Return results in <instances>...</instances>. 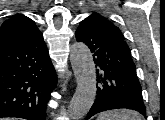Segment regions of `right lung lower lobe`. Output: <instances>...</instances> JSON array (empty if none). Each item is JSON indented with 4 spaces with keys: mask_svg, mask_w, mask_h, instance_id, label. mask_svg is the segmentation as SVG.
I'll list each match as a JSON object with an SVG mask.
<instances>
[{
    "mask_svg": "<svg viewBox=\"0 0 165 120\" xmlns=\"http://www.w3.org/2000/svg\"><path fill=\"white\" fill-rule=\"evenodd\" d=\"M56 84L42 34L0 49V117L45 120Z\"/></svg>",
    "mask_w": 165,
    "mask_h": 120,
    "instance_id": "98d812e1",
    "label": "right lung lower lobe"
}]
</instances>
